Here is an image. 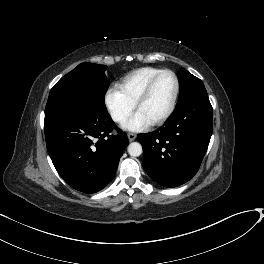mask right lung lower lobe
Returning <instances> with one entry per match:
<instances>
[{
    "instance_id": "1",
    "label": "right lung lower lobe",
    "mask_w": 264,
    "mask_h": 264,
    "mask_svg": "<svg viewBox=\"0 0 264 264\" xmlns=\"http://www.w3.org/2000/svg\"><path fill=\"white\" fill-rule=\"evenodd\" d=\"M116 129L118 134L111 131ZM46 146L59 175L72 188L95 193L114 176L129 144L106 110L84 107L46 116Z\"/></svg>"
}]
</instances>
